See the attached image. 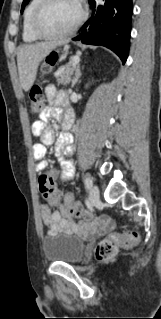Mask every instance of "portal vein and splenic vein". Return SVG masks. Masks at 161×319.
<instances>
[{
	"mask_svg": "<svg viewBox=\"0 0 161 319\" xmlns=\"http://www.w3.org/2000/svg\"><path fill=\"white\" fill-rule=\"evenodd\" d=\"M80 61L79 56H75L73 59V66H75L76 64H78Z\"/></svg>",
	"mask_w": 161,
	"mask_h": 319,
	"instance_id": "obj_1",
	"label": "portal vein and splenic vein"
}]
</instances>
